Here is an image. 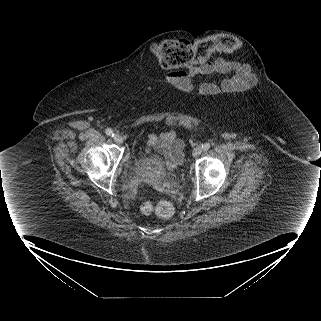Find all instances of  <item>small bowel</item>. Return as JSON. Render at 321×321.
<instances>
[{
  "label": "small bowel",
  "mask_w": 321,
  "mask_h": 321,
  "mask_svg": "<svg viewBox=\"0 0 321 321\" xmlns=\"http://www.w3.org/2000/svg\"><path fill=\"white\" fill-rule=\"evenodd\" d=\"M234 73L233 80H224L222 89L227 93L242 91L252 88L257 83V78L246 65H239L233 61L218 59L215 62L191 67L188 71H178L169 75V80L185 90L197 89L199 96H217L221 87L216 82H205L200 85L195 78L202 75ZM184 143L177 138L175 131L164 133L151 132L147 138L146 151H157L167 162L170 168H175L182 159Z\"/></svg>",
  "instance_id": "1"
}]
</instances>
